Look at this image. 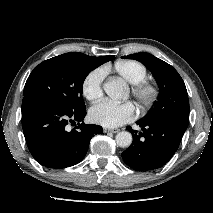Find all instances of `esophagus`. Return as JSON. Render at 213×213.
<instances>
[{
  "label": "esophagus",
  "mask_w": 213,
  "mask_h": 213,
  "mask_svg": "<svg viewBox=\"0 0 213 213\" xmlns=\"http://www.w3.org/2000/svg\"><path fill=\"white\" fill-rule=\"evenodd\" d=\"M103 131H104L105 133H108V132H111V133H117V132H119V129H114V128H112V129H110V128H104V129H103Z\"/></svg>",
  "instance_id": "34e87169"
}]
</instances>
